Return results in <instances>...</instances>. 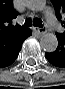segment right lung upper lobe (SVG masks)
I'll return each instance as SVG.
<instances>
[{"instance_id": "1", "label": "right lung upper lobe", "mask_w": 65, "mask_h": 89, "mask_svg": "<svg viewBox=\"0 0 65 89\" xmlns=\"http://www.w3.org/2000/svg\"><path fill=\"white\" fill-rule=\"evenodd\" d=\"M17 15L18 13L13 8L12 0H0V39L18 35L27 29L12 25V20Z\"/></svg>"}]
</instances>
